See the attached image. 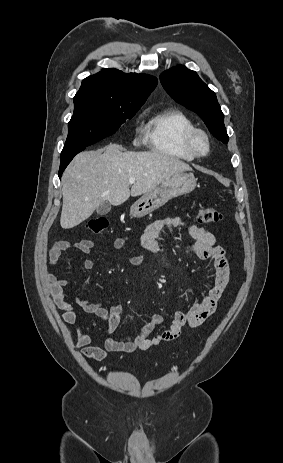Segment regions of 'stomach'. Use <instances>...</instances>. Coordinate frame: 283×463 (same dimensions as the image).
I'll return each instance as SVG.
<instances>
[{
  "label": "stomach",
  "instance_id": "obj_1",
  "mask_svg": "<svg viewBox=\"0 0 283 463\" xmlns=\"http://www.w3.org/2000/svg\"><path fill=\"white\" fill-rule=\"evenodd\" d=\"M196 186L192 174L181 173L164 180L159 186L144 194L130 208L132 217L141 218L163 206L168 200L190 193Z\"/></svg>",
  "mask_w": 283,
  "mask_h": 463
}]
</instances>
